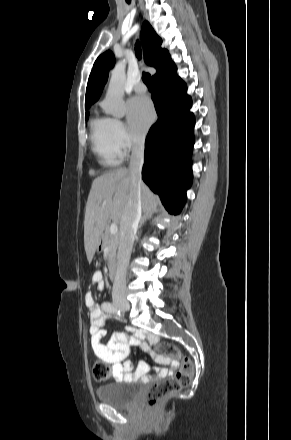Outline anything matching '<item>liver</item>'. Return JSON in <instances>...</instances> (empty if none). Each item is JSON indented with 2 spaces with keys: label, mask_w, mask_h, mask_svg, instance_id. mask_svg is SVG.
<instances>
[{
  "label": "liver",
  "mask_w": 291,
  "mask_h": 440,
  "mask_svg": "<svg viewBox=\"0 0 291 440\" xmlns=\"http://www.w3.org/2000/svg\"><path fill=\"white\" fill-rule=\"evenodd\" d=\"M132 190L131 176L127 169L109 171L94 179L86 203L84 219V246L89 262L100 245L108 219L120 224ZM141 205L144 214L157 209L158 197L141 184Z\"/></svg>",
  "instance_id": "liver-1"
}]
</instances>
